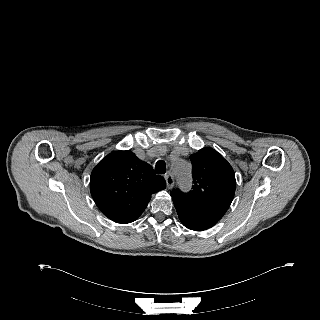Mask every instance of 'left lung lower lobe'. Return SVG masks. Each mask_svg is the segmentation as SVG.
Wrapping results in <instances>:
<instances>
[{"instance_id":"left-lung-lower-lobe-1","label":"left lung lower lobe","mask_w":320,"mask_h":320,"mask_svg":"<svg viewBox=\"0 0 320 320\" xmlns=\"http://www.w3.org/2000/svg\"><path fill=\"white\" fill-rule=\"evenodd\" d=\"M177 214L182 224L188 229L203 231L213 227L224 214L173 199Z\"/></svg>"}]
</instances>
